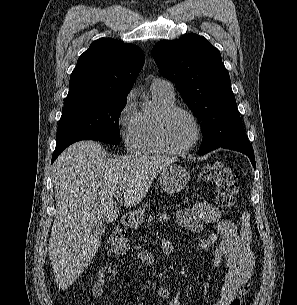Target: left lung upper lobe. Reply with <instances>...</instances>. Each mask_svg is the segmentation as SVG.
Masks as SVG:
<instances>
[{"instance_id":"left-lung-upper-lobe-1","label":"left lung upper lobe","mask_w":297,"mask_h":305,"mask_svg":"<svg viewBox=\"0 0 297 305\" xmlns=\"http://www.w3.org/2000/svg\"><path fill=\"white\" fill-rule=\"evenodd\" d=\"M152 56L160 73L175 83L201 121L204 138L199 152L247 138L230 76L217 48L202 36L188 34L158 42Z\"/></svg>"}]
</instances>
